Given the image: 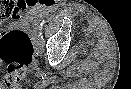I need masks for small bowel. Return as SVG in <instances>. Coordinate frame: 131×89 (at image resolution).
Returning <instances> with one entry per match:
<instances>
[{
    "label": "small bowel",
    "mask_w": 131,
    "mask_h": 89,
    "mask_svg": "<svg viewBox=\"0 0 131 89\" xmlns=\"http://www.w3.org/2000/svg\"><path fill=\"white\" fill-rule=\"evenodd\" d=\"M32 14L35 17H40V16L44 15V12L40 8H34L32 11Z\"/></svg>",
    "instance_id": "obj_1"
}]
</instances>
